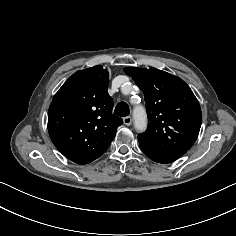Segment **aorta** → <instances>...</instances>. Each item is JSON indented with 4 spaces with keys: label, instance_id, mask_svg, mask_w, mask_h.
Masks as SVG:
<instances>
[{
    "label": "aorta",
    "instance_id": "aorta-1",
    "mask_svg": "<svg viewBox=\"0 0 236 236\" xmlns=\"http://www.w3.org/2000/svg\"><path fill=\"white\" fill-rule=\"evenodd\" d=\"M135 127L138 131H143L146 128V114L143 108H136L133 112Z\"/></svg>",
    "mask_w": 236,
    "mask_h": 236
}]
</instances>
